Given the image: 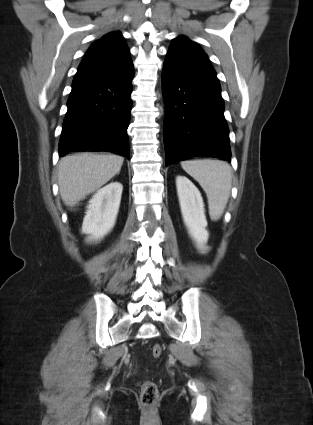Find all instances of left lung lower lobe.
Segmentation results:
<instances>
[{
    "instance_id": "1",
    "label": "left lung lower lobe",
    "mask_w": 313,
    "mask_h": 425,
    "mask_svg": "<svg viewBox=\"0 0 313 425\" xmlns=\"http://www.w3.org/2000/svg\"><path fill=\"white\" fill-rule=\"evenodd\" d=\"M162 87L167 109L166 165L198 156L231 161L229 129L217 76L166 58Z\"/></svg>"
}]
</instances>
